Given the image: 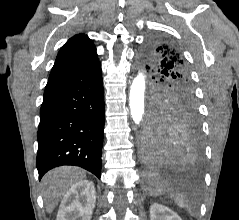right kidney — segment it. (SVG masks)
Here are the masks:
<instances>
[{"instance_id":"right-kidney-1","label":"right kidney","mask_w":239,"mask_h":220,"mask_svg":"<svg viewBox=\"0 0 239 220\" xmlns=\"http://www.w3.org/2000/svg\"><path fill=\"white\" fill-rule=\"evenodd\" d=\"M95 202L94 183L81 180L75 183L63 197L57 220H90Z\"/></svg>"}]
</instances>
